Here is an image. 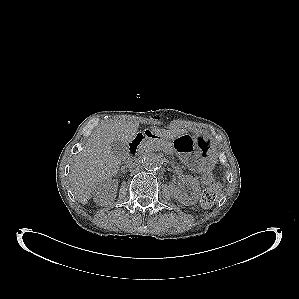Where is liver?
I'll return each mask as SVG.
<instances>
[{
  "instance_id": "6515ba94",
  "label": "liver",
  "mask_w": 299,
  "mask_h": 299,
  "mask_svg": "<svg viewBox=\"0 0 299 299\" xmlns=\"http://www.w3.org/2000/svg\"><path fill=\"white\" fill-rule=\"evenodd\" d=\"M138 128L137 122L114 121L103 123L93 131L83 151L76 156L69 174L72 191L80 203L87 204L96 187L117 174L121 161L112 152V143L129 144ZM151 133L162 139H173L184 131L153 128Z\"/></svg>"
}]
</instances>
